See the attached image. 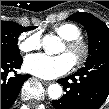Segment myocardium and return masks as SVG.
Returning <instances> with one entry per match:
<instances>
[{"label": "myocardium", "mask_w": 109, "mask_h": 109, "mask_svg": "<svg viewBox=\"0 0 109 109\" xmlns=\"http://www.w3.org/2000/svg\"><path fill=\"white\" fill-rule=\"evenodd\" d=\"M65 46L70 51L79 50V57L73 62V66L80 68L84 66L90 55V46L81 36L65 40Z\"/></svg>", "instance_id": "f54148a6"}]
</instances>
